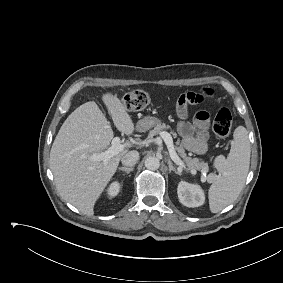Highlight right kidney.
<instances>
[{"label": "right kidney", "instance_id": "ca27d5eb", "mask_svg": "<svg viewBox=\"0 0 283 283\" xmlns=\"http://www.w3.org/2000/svg\"><path fill=\"white\" fill-rule=\"evenodd\" d=\"M119 190H120V185L118 182H113L108 190H107V193L110 197H114L116 196L118 193H119Z\"/></svg>", "mask_w": 283, "mask_h": 283}]
</instances>
